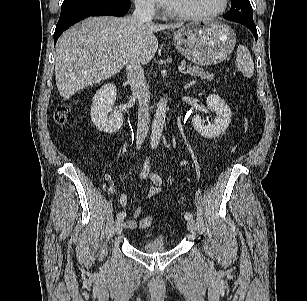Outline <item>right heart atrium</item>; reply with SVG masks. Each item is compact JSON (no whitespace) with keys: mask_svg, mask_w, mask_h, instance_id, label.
<instances>
[{"mask_svg":"<svg viewBox=\"0 0 307 301\" xmlns=\"http://www.w3.org/2000/svg\"><path fill=\"white\" fill-rule=\"evenodd\" d=\"M136 8L146 14L155 15L157 13V4L155 0H134Z\"/></svg>","mask_w":307,"mask_h":301,"instance_id":"1","label":"right heart atrium"}]
</instances>
